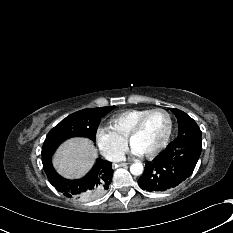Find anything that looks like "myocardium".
<instances>
[{
	"label": "myocardium",
	"mask_w": 233,
	"mask_h": 233,
	"mask_svg": "<svg viewBox=\"0 0 233 233\" xmlns=\"http://www.w3.org/2000/svg\"><path fill=\"white\" fill-rule=\"evenodd\" d=\"M156 112H163L164 114H166V116L168 117V129L166 132V135L164 137V139L162 140V142L152 151L146 153V154H141L143 157L146 158H151L154 157L156 154H158L163 148H165V146L167 145V143L169 142V139L171 137L172 134V128H173V119H172V115L171 113L163 108H155V109H151L148 112H146L143 116H141L138 121L135 123V125L132 127V129L130 130V132L128 133V136L126 138V142L129 146L132 147V140L133 138L141 131L145 121L147 120V118Z\"/></svg>",
	"instance_id": "obj_1"
}]
</instances>
